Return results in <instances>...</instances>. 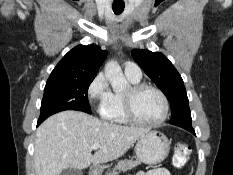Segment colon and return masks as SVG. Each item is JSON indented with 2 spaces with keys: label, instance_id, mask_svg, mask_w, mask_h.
Instances as JSON below:
<instances>
[{
  "label": "colon",
  "instance_id": "obj_1",
  "mask_svg": "<svg viewBox=\"0 0 233 175\" xmlns=\"http://www.w3.org/2000/svg\"><path fill=\"white\" fill-rule=\"evenodd\" d=\"M191 147L184 142H178L174 146L173 165L175 168H182L188 161Z\"/></svg>",
  "mask_w": 233,
  "mask_h": 175
}]
</instances>
